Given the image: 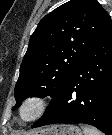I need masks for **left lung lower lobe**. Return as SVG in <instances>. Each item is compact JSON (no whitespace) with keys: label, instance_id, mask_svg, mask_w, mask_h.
<instances>
[{"label":"left lung lower lobe","instance_id":"1","mask_svg":"<svg viewBox=\"0 0 112 135\" xmlns=\"http://www.w3.org/2000/svg\"><path fill=\"white\" fill-rule=\"evenodd\" d=\"M88 124L112 135V25L85 55L32 128Z\"/></svg>","mask_w":112,"mask_h":135}]
</instances>
